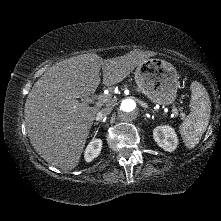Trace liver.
<instances>
[{
	"label": "liver",
	"mask_w": 221,
	"mask_h": 221,
	"mask_svg": "<svg viewBox=\"0 0 221 221\" xmlns=\"http://www.w3.org/2000/svg\"><path fill=\"white\" fill-rule=\"evenodd\" d=\"M155 52L131 51L103 60L94 53L65 59L50 67L33 85L25 103L27 133L35 151L49 164L64 170L80 161L99 107L77 98L95 92L103 71V84L112 86L125 79Z\"/></svg>",
	"instance_id": "1"
}]
</instances>
